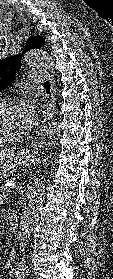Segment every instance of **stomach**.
<instances>
[{
	"label": "stomach",
	"instance_id": "1",
	"mask_svg": "<svg viewBox=\"0 0 113 279\" xmlns=\"http://www.w3.org/2000/svg\"><path fill=\"white\" fill-rule=\"evenodd\" d=\"M35 160V155L26 154L24 152L16 154L11 159L0 158V182L4 181L8 176L16 171L19 166H31L35 163Z\"/></svg>",
	"mask_w": 113,
	"mask_h": 279
}]
</instances>
